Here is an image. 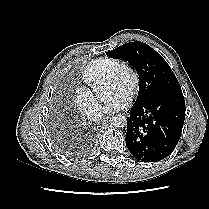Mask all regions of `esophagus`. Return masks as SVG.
<instances>
[{"label": "esophagus", "mask_w": 209, "mask_h": 209, "mask_svg": "<svg viewBox=\"0 0 209 209\" xmlns=\"http://www.w3.org/2000/svg\"><path fill=\"white\" fill-rule=\"evenodd\" d=\"M108 119H109V118H104V120H102L101 124H102V125L106 124V123L108 122Z\"/></svg>", "instance_id": "1"}]
</instances>
